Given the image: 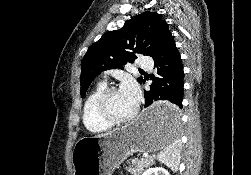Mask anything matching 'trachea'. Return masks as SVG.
<instances>
[{
	"label": "trachea",
	"mask_w": 251,
	"mask_h": 175,
	"mask_svg": "<svg viewBox=\"0 0 251 175\" xmlns=\"http://www.w3.org/2000/svg\"><path fill=\"white\" fill-rule=\"evenodd\" d=\"M139 71H140V72H144V70H142V69H139Z\"/></svg>",
	"instance_id": "3493384b"
}]
</instances>
